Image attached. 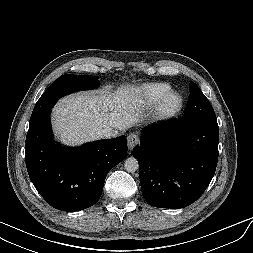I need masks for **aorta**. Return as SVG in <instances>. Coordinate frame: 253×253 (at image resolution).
I'll use <instances>...</instances> for the list:
<instances>
[{"label": "aorta", "mask_w": 253, "mask_h": 253, "mask_svg": "<svg viewBox=\"0 0 253 253\" xmlns=\"http://www.w3.org/2000/svg\"><path fill=\"white\" fill-rule=\"evenodd\" d=\"M139 164L136 158L129 157L124 162V169L129 173H134L138 170Z\"/></svg>", "instance_id": "aorta-1"}]
</instances>
